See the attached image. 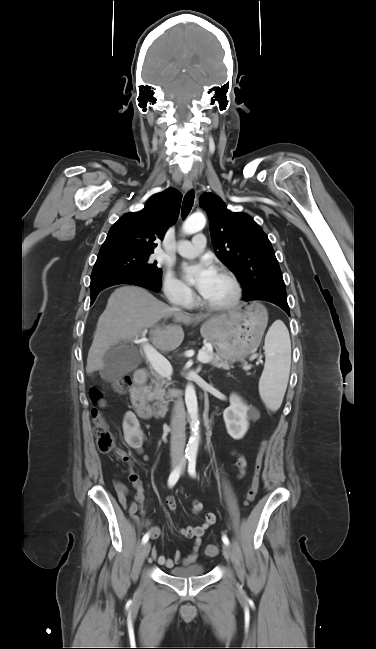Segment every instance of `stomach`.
I'll use <instances>...</instances> for the list:
<instances>
[{"instance_id": "0dacf381", "label": "stomach", "mask_w": 376, "mask_h": 649, "mask_svg": "<svg viewBox=\"0 0 376 649\" xmlns=\"http://www.w3.org/2000/svg\"><path fill=\"white\" fill-rule=\"evenodd\" d=\"M268 321L265 308L257 303L242 306L228 315L207 320L200 329L203 339L227 360H241L260 345Z\"/></svg>"}]
</instances>
